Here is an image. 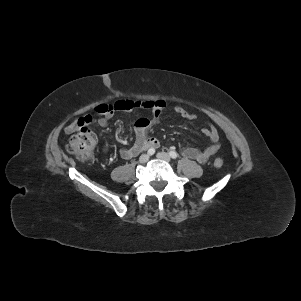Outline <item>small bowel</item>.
Masks as SVG:
<instances>
[{
  "label": "small bowel",
  "instance_id": "1",
  "mask_svg": "<svg viewBox=\"0 0 301 301\" xmlns=\"http://www.w3.org/2000/svg\"><path fill=\"white\" fill-rule=\"evenodd\" d=\"M165 107L166 103L163 100H117L113 104H103L96 108V112L100 115L97 123L101 127H106L116 111L129 112L135 109H148L151 111V118L141 117L135 121V143L131 147L120 150V156L123 159H131L143 150L150 148L157 149L159 147V141L156 138L149 136L148 131L152 125L159 121L160 115ZM175 112L188 120H193L195 118L194 114L180 106L175 108ZM92 122L93 117L91 115H86L68 124L64 131L66 134H71L85 128ZM202 133L211 142L207 148L200 150L194 147H187L182 150L183 156L199 163L207 162L220 148L218 143L219 135L214 127L203 128Z\"/></svg>",
  "mask_w": 301,
  "mask_h": 301
}]
</instances>
